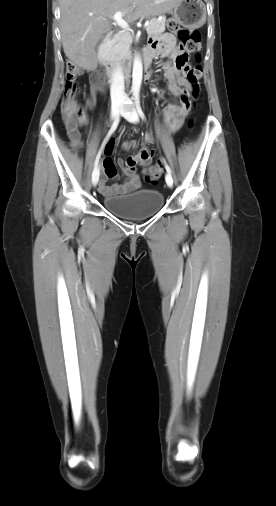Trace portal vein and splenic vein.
Wrapping results in <instances>:
<instances>
[{"label":"portal vein and splenic vein","instance_id":"1","mask_svg":"<svg viewBox=\"0 0 276 506\" xmlns=\"http://www.w3.org/2000/svg\"><path fill=\"white\" fill-rule=\"evenodd\" d=\"M123 14H124V12L119 11V12H116L111 18L117 23V25L119 27L128 31V30H130V28H129L128 23L122 19ZM148 25H149V22H146L145 23L146 30H147Z\"/></svg>","mask_w":276,"mask_h":506}]
</instances>
